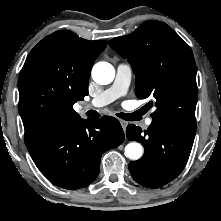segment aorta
<instances>
[{
  "label": "aorta",
  "mask_w": 221,
  "mask_h": 221,
  "mask_svg": "<svg viewBox=\"0 0 221 221\" xmlns=\"http://www.w3.org/2000/svg\"><path fill=\"white\" fill-rule=\"evenodd\" d=\"M115 77L114 67L108 62H98L92 69L93 80L100 85H107ZM143 153L142 145L137 142H131L125 147V156L131 160H138Z\"/></svg>",
  "instance_id": "aorta-1"
}]
</instances>
